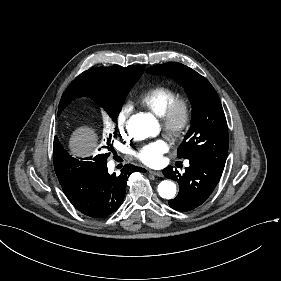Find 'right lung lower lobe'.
<instances>
[{"mask_svg":"<svg viewBox=\"0 0 281 281\" xmlns=\"http://www.w3.org/2000/svg\"><path fill=\"white\" fill-rule=\"evenodd\" d=\"M54 147L62 148L57 138L54 139ZM108 156L90 161L88 167L75 177L59 179L72 205L92 218L107 217L115 212L125 196L128 176L134 171L145 172L143 168L126 164L120 174H109Z\"/></svg>","mask_w":281,"mask_h":281,"instance_id":"1","label":"right lung lower lobe"}]
</instances>
